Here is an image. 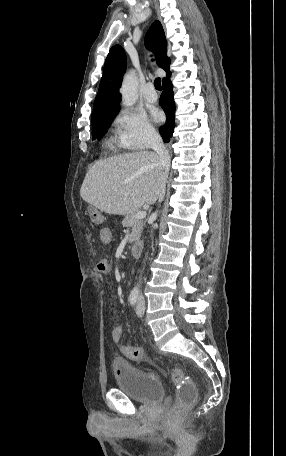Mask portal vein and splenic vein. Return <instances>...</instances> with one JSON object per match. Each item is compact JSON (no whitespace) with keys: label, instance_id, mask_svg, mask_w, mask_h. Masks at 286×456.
I'll return each mask as SVG.
<instances>
[{"label":"portal vein and splenic vein","instance_id":"1","mask_svg":"<svg viewBox=\"0 0 286 456\" xmlns=\"http://www.w3.org/2000/svg\"><path fill=\"white\" fill-rule=\"evenodd\" d=\"M135 217H136V219H143V218L146 217V212H145V211H138V212L136 213V216H135Z\"/></svg>","mask_w":286,"mask_h":456}]
</instances>
